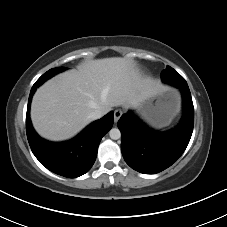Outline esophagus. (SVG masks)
Returning <instances> with one entry per match:
<instances>
[{
  "label": "esophagus",
  "mask_w": 227,
  "mask_h": 227,
  "mask_svg": "<svg viewBox=\"0 0 227 227\" xmlns=\"http://www.w3.org/2000/svg\"><path fill=\"white\" fill-rule=\"evenodd\" d=\"M123 111L121 109H117L114 111V122L117 123L120 117L122 116Z\"/></svg>",
  "instance_id": "esophagus-1"
}]
</instances>
